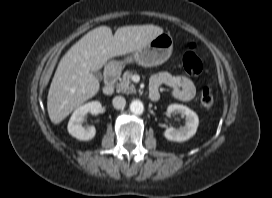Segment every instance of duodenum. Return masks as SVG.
I'll return each instance as SVG.
<instances>
[{
  "instance_id": "1",
  "label": "duodenum",
  "mask_w": 272,
  "mask_h": 198,
  "mask_svg": "<svg viewBox=\"0 0 272 198\" xmlns=\"http://www.w3.org/2000/svg\"><path fill=\"white\" fill-rule=\"evenodd\" d=\"M121 71L119 68L111 67L106 70L105 73V84L102 87V93L105 95H111L114 92L115 84L118 81L120 77ZM158 91H154L151 93L150 98L151 99H157L158 98Z\"/></svg>"
}]
</instances>
